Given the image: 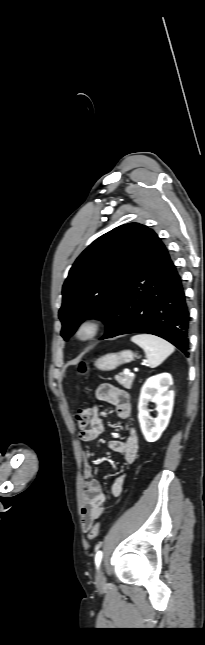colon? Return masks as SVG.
I'll use <instances>...</instances> for the list:
<instances>
[{"instance_id": "colon-1", "label": "colon", "mask_w": 205, "mask_h": 645, "mask_svg": "<svg viewBox=\"0 0 205 645\" xmlns=\"http://www.w3.org/2000/svg\"><path fill=\"white\" fill-rule=\"evenodd\" d=\"M79 372L81 374H84L86 372V365L84 363L80 365ZM92 417H93V411L91 408L79 409L75 414L76 422L81 430L86 429V427L90 425ZM99 530H100L99 522L92 525V527L89 529V534H88L89 539L94 540L98 536Z\"/></svg>"}]
</instances>
